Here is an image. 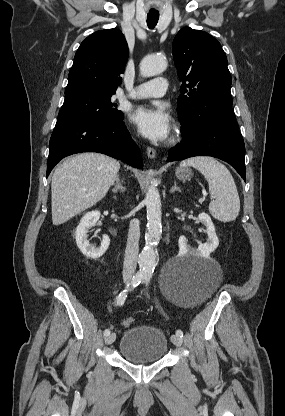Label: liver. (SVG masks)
<instances>
[{"instance_id":"1","label":"liver","mask_w":285,"mask_h":416,"mask_svg":"<svg viewBox=\"0 0 285 416\" xmlns=\"http://www.w3.org/2000/svg\"><path fill=\"white\" fill-rule=\"evenodd\" d=\"M119 170V162L92 152L68 158L58 166L51 182L54 226L100 202L113 186Z\"/></svg>"}]
</instances>
